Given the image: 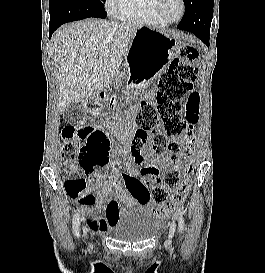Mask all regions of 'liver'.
I'll return each instance as SVG.
<instances>
[{
  "instance_id": "1",
  "label": "liver",
  "mask_w": 265,
  "mask_h": 273,
  "mask_svg": "<svg viewBox=\"0 0 265 273\" xmlns=\"http://www.w3.org/2000/svg\"><path fill=\"white\" fill-rule=\"evenodd\" d=\"M139 23L87 19L68 24L53 38L59 110L98 96L119 71Z\"/></svg>"
}]
</instances>
